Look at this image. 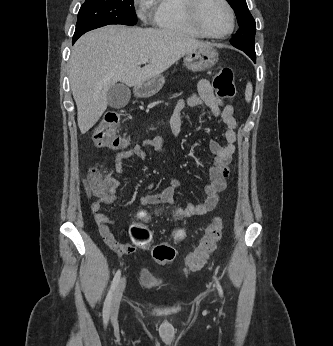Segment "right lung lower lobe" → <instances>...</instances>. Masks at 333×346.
Returning <instances> with one entry per match:
<instances>
[{"label":"right lung lower lobe","mask_w":333,"mask_h":346,"mask_svg":"<svg viewBox=\"0 0 333 346\" xmlns=\"http://www.w3.org/2000/svg\"><path fill=\"white\" fill-rule=\"evenodd\" d=\"M77 39H73V43L76 41Z\"/></svg>","instance_id":"right-lung-lower-lobe-1"}]
</instances>
